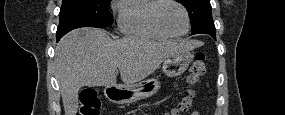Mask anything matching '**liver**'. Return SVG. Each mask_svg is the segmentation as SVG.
<instances>
[{"label": "liver", "instance_id": "1", "mask_svg": "<svg viewBox=\"0 0 285 115\" xmlns=\"http://www.w3.org/2000/svg\"><path fill=\"white\" fill-rule=\"evenodd\" d=\"M201 45L196 40L156 42L132 36L112 40L105 30L92 28L69 32L57 44L54 58L65 115H76L81 87L115 85L118 70L124 85L135 84L166 58Z\"/></svg>", "mask_w": 285, "mask_h": 115}]
</instances>
